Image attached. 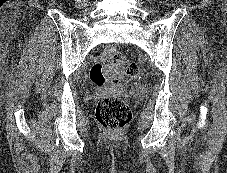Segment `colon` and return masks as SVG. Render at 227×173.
Wrapping results in <instances>:
<instances>
[{"instance_id": "5ec220e1", "label": "colon", "mask_w": 227, "mask_h": 173, "mask_svg": "<svg viewBox=\"0 0 227 173\" xmlns=\"http://www.w3.org/2000/svg\"><path fill=\"white\" fill-rule=\"evenodd\" d=\"M104 57L121 69L126 77L136 79L140 75L139 66L130 62L115 48L109 46L104 50ZM90 80L97 87L116 85L117 77L108 76L104 65L96 63L90 70ZM96 119L99 124L110 132L121 131L131 120V112L126 102L119 96L106 95L99 99L96 106Z\"/></svg>"}]
</instances>
